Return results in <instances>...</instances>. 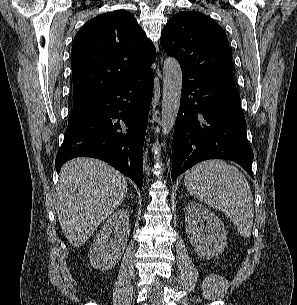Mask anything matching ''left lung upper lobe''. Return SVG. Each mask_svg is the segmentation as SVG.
Segmentation results:
<instances>
[{
  "label": "left lung upper lobe",
  "instance_id": "5c2ea615",
  "mask_svg": "<svg viewBox=\"0 0 297 305\" xmlns=\"http://www.w3.org/2000/svg\"><path fill=\"white\" fill-rule=\"evenodd\" d=\"M160 44L179 61L182 72L196 78L233 77L228 38L209 16L195 11L177 13L164 27Z\"/></svg>",
  "mask_w": 297,
  "mask_h": 305
}]
</instances>
